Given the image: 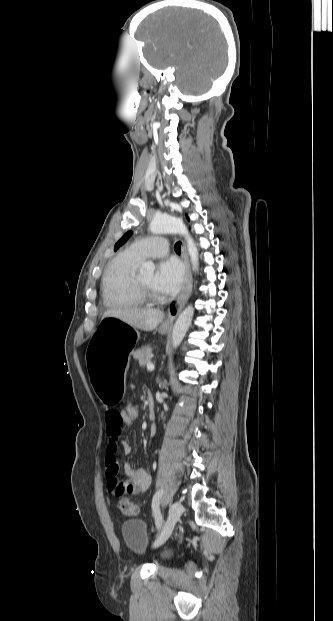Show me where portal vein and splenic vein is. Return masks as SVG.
<instances>
[{"label":"portal vein and splenic vein","instance_id":"obj_1","mask_svg":"<svg viewBox=\"0 0 333 621\" xmlns=\"http://www.w3.org/2000/svg\"><path fill=\"white\" fill-rule=\"evenodd\" d=\"M146 368H147V370H148V371H152V370H154L155 366H154V364H153V363H151V362H150V363H148V364L146 365Z\"/></svg>","mask_w":333,"mask_h":621}]
</instances>
